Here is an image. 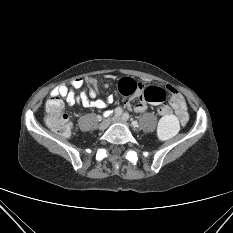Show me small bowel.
I'll return each mask as SVG.
<instances>
[{
	"label": "small bowel",
	"mask_w": 233,
	"mask_h": 233,
	"mask_svg": "<svg viewBox=\"0 0 233 233\" xmlns=\"http://www.w3.org/2000/svg\"><path fill=\"white\" fill-rule=\"evenodd\" d=\"M84 84L88 86V92H82L77 95L76 90L83 87ZM166 88L170 94L169 103L175 110L180 122L184 124L188 119L186 102L183 96L174 87L167 86ZM51 96H61L67 104L71 106L81 104L84 107L103 109L105 110V116L109 114L107 108L113 102L112 96H109L106 100L97 98L98 84L93 78H87L86 80L81 78L74 79L71 81L70 86L62 84L52 91ZM125 105L136 112H144L147 108L146 102L142 99L134 106H132L129 101H126Z\"/></svg>",
	"instance_id": "obj_1"
}]
</instances>
